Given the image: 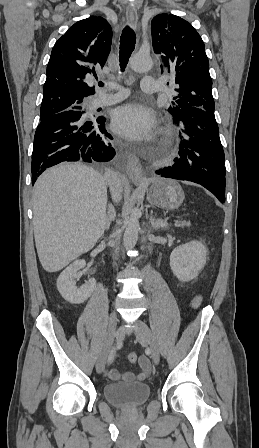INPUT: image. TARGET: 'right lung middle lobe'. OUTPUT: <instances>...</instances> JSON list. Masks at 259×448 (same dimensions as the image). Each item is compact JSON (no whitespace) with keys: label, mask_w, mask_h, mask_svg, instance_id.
<instances>
[{"label":"right lung middle lobe","mask_w":259,"mask_h":448,"mask_svg":"<svg viewBox=\"0 0 259 448\" xmlns=\"http://www.w3.org/2000/svg\"><path fill=\"white\" fill-rule=\"evenodd\" d=\"M63 112H68V114L71 115H86V116H91L86 112V107L85 105H74L71 106L69 108H66L62 111L59 112H54V113H47V114H40V120L46 119L50 116L59 114V113H63Z\"/></svg>","instance_id":"1"}]
</instances>
